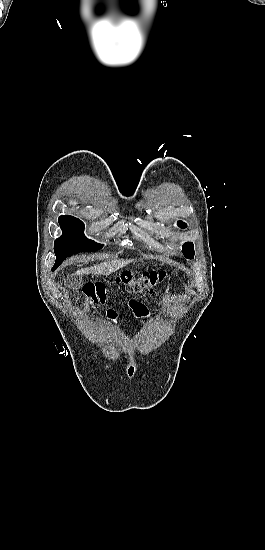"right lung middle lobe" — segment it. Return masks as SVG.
I'll use <instances>...</instances> for the list:
<instances>
[{"mask_svg": "<svg viewBox=\"0 0 265 550\" xmlns=\"http://www.w3.org/2000/svg\"><path fill=\"white\" fill-rule=\"evenodd\" d=\"M62 236L54 243L56 261L54 267H58L64 259L75 253L84 251H96L103 247L84 236V224L79 219L64 215L59 217Z\"/></svg>", "mask_w": 265, "mask_h": 550, "instance_id": "dd1d6c3e", "label": "right lung middle lobe"}]
</instances>
